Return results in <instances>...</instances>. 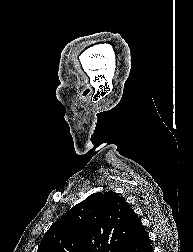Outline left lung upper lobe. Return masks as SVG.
I'll return each mask as SVG.
<instances>
[{
    "instance_id": "5c2ea615",
    "label": "left lung upper lobe",
    "mask_w": 193,
    "mask_h": 252,
    "mask_svg": "<svg viewBox=\"0 0 193 252\" xmlns=\"http://www.w3.org/2000/svg\"><path fill=\"white\" fill-rule=\"evenodd\" d=\"M140 222L115 192H97L53 224L37 252H124Z\"/></svg>"
}]
</instances>
